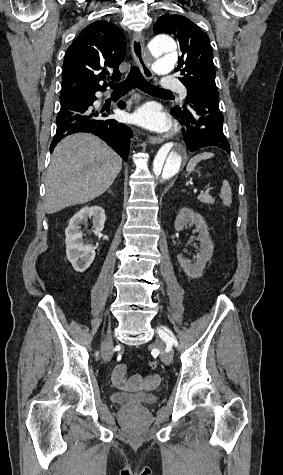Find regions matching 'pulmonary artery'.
Listing matches in <instances>:
<instances>
[{"instance_id": "1", "label": "pulmonary artery", "mask_w": 283, "mask_h": 475, "mask_svg": "<svg viewBox=\"0 0 283 475\" xmlns=\"http://www.w3.org/2000/svg\"><path fill=\"white\" fill-rule=\"evenodd\" d=\"M179 88L177 89V94L179 96H186L188 94V89L178 83ZM158 87L160 89H175L176 82L175 80H160L158 82Z\"/></svg>"}]
</instances>
